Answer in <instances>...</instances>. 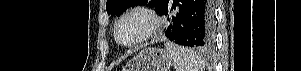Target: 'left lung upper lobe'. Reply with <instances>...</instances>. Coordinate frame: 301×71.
<instances>
[{
  "label": "left lung upper lobe",
  "mask_w": 301,
  "mask_h": 71,
  "mask_svg": "<svg viewBox=\"0 0 301 71\" xmlns=\"http://www.w3.org/2000/svg\"><path fill=\"white\" fill-rule=\"evenodd\" d=\"M166 0H107L106 10L109 15L120 16L127 8L135 4L154 6L159 13Z\"/></svg>",
  "instance_id": "obj_1"
}]
</instances>
